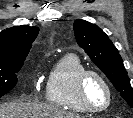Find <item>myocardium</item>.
Returning a JSON list of instances; mask_svg holds the SVG:
<instances>
[{"instance_id": "obj_1", "label": "myocardium", "mask_w": 133, "mask_h": 118, "mask_svg": "<svg viewBox=\"0 0 133 118\" xmlns=\"http://www.w3.org/2000/svg\"><path fill=\"white\" fill-rule=\"evenodd\" d=\"M96 77L98 78L103 85L105 86L107 90V102L103 107L96 108L92 106L88 100L87 94H86V86H87V81L90 77ZM77 93H78V98L81 102V104L85 107V109L91 113H100L105 110H107L110 105L112 104L113 100V90L112 87L108 81V79L100 72L92 69H87L84 72L81 73V75L78 78L77 82Z\"/></svg>"}]
</instances>
